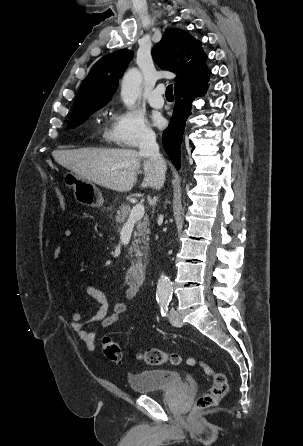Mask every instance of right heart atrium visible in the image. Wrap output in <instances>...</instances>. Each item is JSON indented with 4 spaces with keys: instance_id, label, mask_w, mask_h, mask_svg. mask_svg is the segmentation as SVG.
I'll list each match as a JSON object with an SVG mask.
<instances>
[{
    "instance_id": "1",
    "label": "right heart atrium",
    "mask_w": 303,
    "mask_h": 446,
    "mask_svg": "<svg viewBox=\"0 0 303 446\" xmlns=\"http://www.w3.org/2000/svg\"><path fill=\"white\" fill-rule=\"evenodd\" d=\"M110 139L119 146L135 148L153 142L155 133L140 111L125 108L113 116Z\"/></svg>"
}]
</instances>
